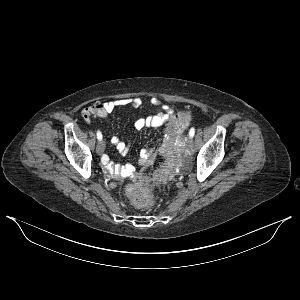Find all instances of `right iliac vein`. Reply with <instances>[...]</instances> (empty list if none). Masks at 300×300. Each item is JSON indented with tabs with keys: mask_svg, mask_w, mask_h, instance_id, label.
Instances as JSON below:
<instances>
[{
	"mask_svg": "<svg viewBox=\"0 0 300 300\" xmlns=\"http://www.w3.org/2000/svg\"><path fill=\"white\" fill-rule=\"evenodd\" d=\"M105 150V141L104 140H101L99 141V143L97 144V147H96V152L101 155Z\"/></svg>",
	"mask_w": 300,
	"mask_h": 300,
	"instance_id": "1",
	"label": "right iliac vein"
}]
</instances>
